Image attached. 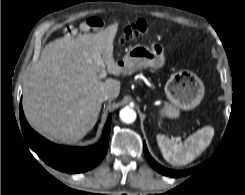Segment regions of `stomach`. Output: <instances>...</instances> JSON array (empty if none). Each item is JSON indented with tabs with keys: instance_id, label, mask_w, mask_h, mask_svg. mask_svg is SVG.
I'll return each mask as SVG.
<instances>
[{
	"instance_id": "obj_1",
	"label": "stomach",
	"mask_w": 245,
	"mask_h": 195,
	"mask_svg": "<svg viewBox=\"0 0 245 195\" xmlns=\"http://www.w3.org/2000/svg\"><path fill=\"white\" fill-rule=\"evenodd\" d=\"M159 48V50L157 49ZM164 63L163 48L136 45L131 47L117 64L123 73H132L145 67L159 69ZM205 87L201 79L189 70H181L171 75L165 85V102L160 113L168 118H177L180 110H190L198 106L204 97Z\"/></svg>"
}]
</instances>
